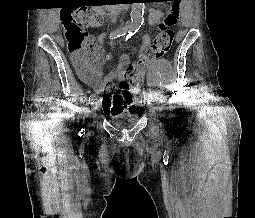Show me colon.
<instances>
[{
	"label": "colon",
	"mask_w": 255,
	"mask_h": 218,
	"mask_svg": "<svg viewBox=\"0 0 255 218\" xmlns=\"http://www.w3.org/2000/svg\"><path fill=\"white\" fill-rule=\"evenodd\" d=\"M164 1L172 2L173 10L166 16L164 23L159 26L153 42L146 48L143 57L136 64L135 73H131L129 79L120 82L116 88L111 81L104 85L103 107L108 114L135 112L133 93L140 90L148 64L163 56L172 45L174 33L170 27L177 22L180 0ZM61 20L65 28L67 48L78 76L84 82L96 86L97 82L86 65L85 51L94 47L89 30L101 24V17L85 7H75L64 9L61 12Z\"/></svg>",
	"instance_id": "colon-1"
}]
</instances>
